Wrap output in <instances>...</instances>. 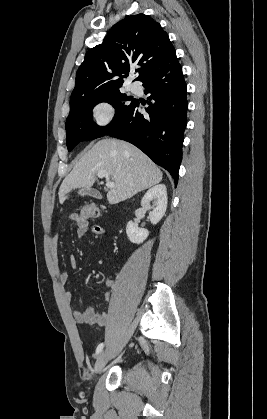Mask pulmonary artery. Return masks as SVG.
<instances>
[{
	"mask_svg": "<svg viewBox=\"0 0 267 419\" xmlns=\"http://www.w3.org/2000/svg\"><path fill=\"white\" fill-rule=\"evenodd\" d=\"M132 91H136V86H131Z\"/></svg>",
	"mask_w": 267,
	"mask_h": 419,
	"instance_id": "1",
	"label": "pulmonary artery"
}]
</instances>
